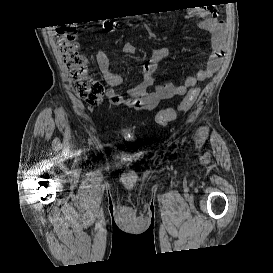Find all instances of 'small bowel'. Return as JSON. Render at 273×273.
Returning <instances> with one entry per match:
<instances>
[{"label": "small bowel", "instance_id": "small-bowel-1", "mask_svg": "<svg viewBox=\"0 0 273 273\" xmlns=\"http://www.w3.org/2000/svg\"><path fill=\"white\" fill-rule=\"evenodd\" d=\"M187 17L201 18V26L211 33L212 51L205 67L200 69L195 75L187 77L181 85H176L172 82L157 84L154 73L158 64L169 57L173 45L153 49L151 50L150 59L142 66L140 82L128 91L127 96H123L116 90L122 83L121 76L111 71L106 53L103 50H98L96 52V62L101 75L109 86L105 92V97L111 104L151 111L162 100L183 96L188 91L196 89L199 82L211 77L218 70L225 53L226 28L224 23L216 18L215 10H191ZM108 28L110 29L111 25H108ZM123 51L128 54H134L136 47L132 43L126 42L123 46ZM150 88L152 89L150 90Z\"/></svg>", "mask_w": 273, "mask_h": 273}]
</instances>
